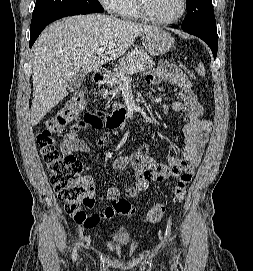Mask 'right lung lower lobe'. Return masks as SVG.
Here are the masks:
<instances>
[{
    "instance_id": "right-lung-lower-lobe-1",
    "label": "right lung lower lobe",
    "mask_w": 253,
    "mask_h": 271,
    "mask_svg": "<svg viewBox=\"0 0 253 271\" xmlns=\"http://www.w3.org/2000/svg\"><path fill=\"white\" fill-rule=\"evenodd\" d=\"M80 14H88V13H83L80 11H66V12L51 15L45 18L44 20L40 21L35 27L30 28V43H29L30 48L34 44L39 34L48 24L66 16H73V15H80Z\"/></svg>"
}]
</instances>
